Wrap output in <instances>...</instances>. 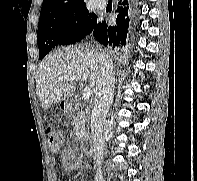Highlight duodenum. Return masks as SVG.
Here are the masks:
<instances>
[{"label": "duodenum", "instance_id": "410a0bca", "mask_svg": "<svg viewBox=\"0 0 197 181\" xmlns=\"http://www.w3.org/2000/svg\"><path fill=\"white\" fill-rule=\"evenodd\" d=\"M75 108H76L75 102H73V101H67V103H66V109H67L68 111H74ZM86 154H87L88 156H92V155H93V150H92V148H90V147L87 148Z\"/></svg>", "mask_w": 197, "mask_h": 181}]
</instances>
